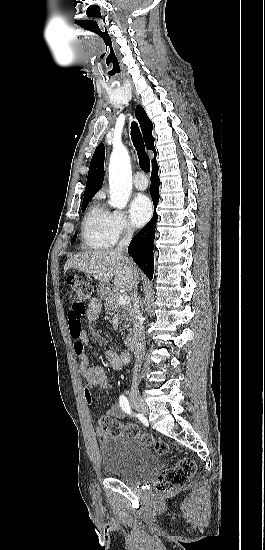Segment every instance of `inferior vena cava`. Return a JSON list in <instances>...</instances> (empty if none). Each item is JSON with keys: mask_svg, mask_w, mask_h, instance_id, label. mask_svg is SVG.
<instances>
[{"mask_svg": "<svg viewBox=\"0 0 265 550\" xmlns=\"http://www.w3.org/2000/svg\"><path fill=\"white\" fill-rule=\"evenodd\" d=\"M134 230L131 226H127L125 235L120 240L116 247V251L123 255L127 252L128 245L133 237ZM128 259V257H126ZM133 318H134V325H133V333H134V355H135V365L133 368V381L136 382L137 380V373L139 372L141 368V364L143 362L144 352H145V329L143 325L142 320V312L139 306L138 302V294H137V277H134V285H133Z\"/></svg>", "mask_w": 265, "mask_h": 550, "instance_id": "602c4592", "label": "inferior vena cava"}]
</instances>
